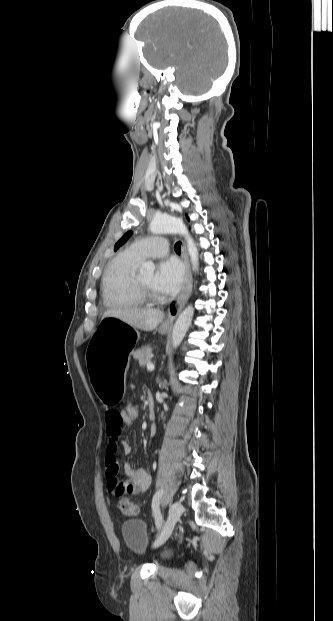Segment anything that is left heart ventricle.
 <instances>
[{
	"mask_svg": "<svg viewBox=\"0 0 333 621\" xmlns=\"http://www.w3.org/2000/svg\"><path fill=\"white\" fill-rule=\"evenodd\" d=\"M138 279L143 285H145L147 288H149L153 292L160 294V295L162 294V292L159 291L157 287L154 285V273L153 272L139 274Z\"/></svg>",
	"mask_w": 333,
	"mask_h": 621,
	"instance_id": "left-heart-ventricle-1",
	"label": "left heart ventricle"
}]
</instances>
